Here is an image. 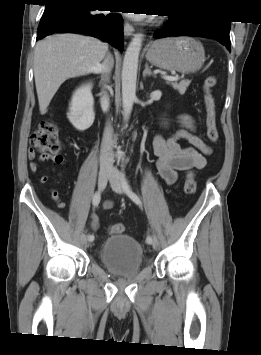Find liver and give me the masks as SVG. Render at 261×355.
Returning <instances> with one entry per match:
<instances>
[{
    "label": "liver",
    "mask_w": 261,
    "mask_h": 355,
    "mask_svg": "<svg viewBox=\"0 0 261 355\" xmlns=\"http://www.w3.org/2000/svg\"><path fill=\"white\" fill-rule=\"evenodd\" d=\"M108 45L93 37L58 34L39 41L34 53V77L42 115L67 79L100 72Z\"/></svg>",
    "instance_id": "obj_1"
}]
</instances>
